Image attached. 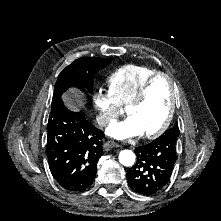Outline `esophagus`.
Segmentation results:
<instances>
[{
  "instance_id": "obj_1",
  "label": "esophagus",
  "mask_w": 221,
  "mask_h": 221,
  "mask_svg": "<svg viewBox=\"0 0 221 221\" xmlns=\"http://www.w3.org/2000/svg\"><path fill=\"white\" fill-rule=\"evenodd\" d=\"M103 146L104 148L120 147V145L114 141H106Z\"/></svg>"
}]
</instances>
